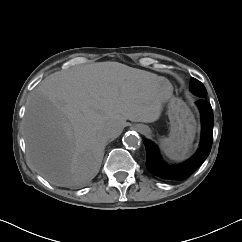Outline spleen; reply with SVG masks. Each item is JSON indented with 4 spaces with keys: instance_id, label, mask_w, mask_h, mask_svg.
Wrapping results in <instances>:
<instances>
[{
    "instance_id": "3e777b00",
    "label": "spleen",
    "mask_w": 242,
    "mask_h": 242,
    "mask_svg": "<svg viewBox=\"0 0 242 242\" xmlns=\"http://www.w3.org/2000/svg\"><path fill=\"white\" fill-rule=\"evenodd\" d=\"M164 151L172 159L179 160L184 158V156L177 154L172 149H164Z\"/></svg>"
}]
</instances>
